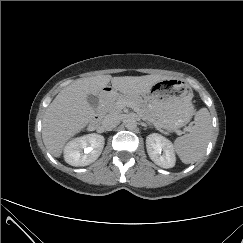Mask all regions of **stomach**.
<instances>
[{"instance_id": "stomach-1", "label": "stomach", "mask_w": 243, "mask_h": 243, "mask_svg": "<svg viewBox=\"0 0 243 243\" xmlns=\"http://www.w3.org/2000/svg\"><path fill=\"white\" fill-rule=\"evenodd\" d=\"M144 97L147 110L168 131L186 125L193 115V91L180 81L163 80L153 85Z\"/></svg>"}]
</instances>
